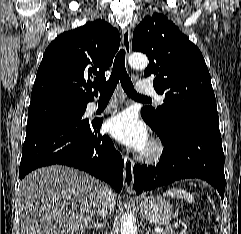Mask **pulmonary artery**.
<instances>
[{
    "label": "pulmonary artery",
    "mask_w": 241,
    "mask_h": 234,
    "mask_svg": "<svg viewBox=\"0 0 241 234\" xmlns=\"http://www.w3.org/2000/svg\"><path fill=\"white\" fill-rule=\"evenodd\" d=\"M137 92L140 95H151L155 96L158 101H162V97L157 95L153 86L147 83H139L137 86ZM95 104H93L94 106Z\"/></svg>",
    "instance_id": "1"
}]
</instances>
